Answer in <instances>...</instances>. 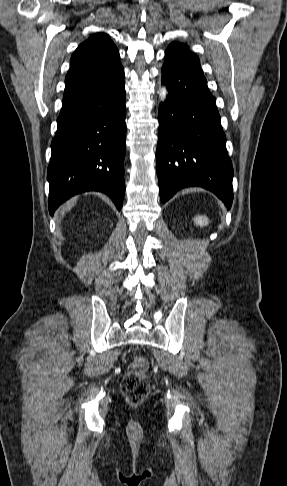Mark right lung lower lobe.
I'll return each mask as SVG.
<instances>
[{
	"label": "right lung lower lobe",
	"instance_id": "obj_1",
	"mask_svg": "<svg viewBox=\"0 0 287 486\" xmlns=\"http://www.w3.org/2000/svg\"><path fill=\"white\" fill-rule=\"evenodd\" d=\"M125 118L124 76L63 101L47 172L51 215L68 198L86 191L109 195L121 209Z\"/></svg>",
	"mask_w": 287,
	"mask_h": 486
}]
</instances>
